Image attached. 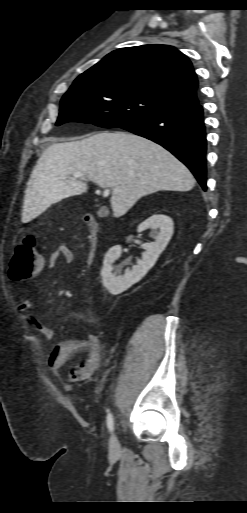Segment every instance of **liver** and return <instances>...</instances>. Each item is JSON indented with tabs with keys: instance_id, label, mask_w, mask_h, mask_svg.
I'll return each instance as SVG.
<instances>
[{
	"instance_id": "liver-1",
	"label": "liver",
	"mask_w": 247,
	"mask_h": 513,
	"mask_svg": "<svg viewBox=\"0 0 247 513\" xmlns=\"http://www.w3.org/2000/svg\"><path fill=\"white\" fill-rule=\"evenodd\" d=\"M75 172L82 174L80 180L69 177ZM89 180L112 189L117 218L145 195L186 192L195 185L188 168L159 144L122 131L97 132L43 151L25 191L24 216L37 217L52 204L81 195Z\"/></svg>"
}]
</instances>
